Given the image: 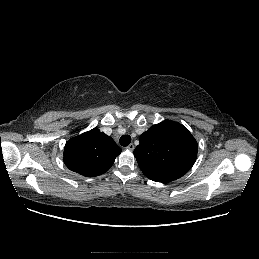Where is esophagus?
Listing matches in <instances>:
<instances>
[{
  "label": "esophagus",
  "mask_w": 259,
  "mask_h": 259,
  "mask_svg": "<svg viewBox=\"0 0 259 259\" xmlns=\"http://www.w3.org/2000/svg\"><path fill=\"white\" fill-rule=\"evenodd\" d=\"M134 144L133 143H131V144H129L127 147H126V149H128V150H130V151H133L134 150Z\"/></svg>",
  "instance_id": "obj_1"
}]
</instances>
